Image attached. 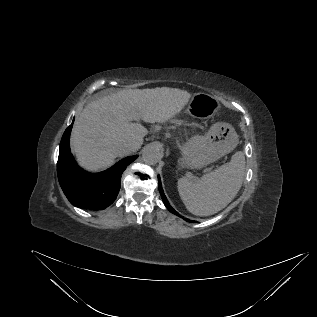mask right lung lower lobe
I'll use <instances>...</instances> for the list:
<instances>
[{"instance_id": "obj_1", "label": "right lung lower lobe", "mask_w": 317, "mask_h": 317, "mask_svg": "<svg viewBox=\"0 0 317 317\" xmlns=\"http://www.w3.org/2000/svg\"><path fill=\"white\" fill-rule=\"evenodd\" d=\"M71 129L72 124L64 132L60 143L57 173L61 188L76 207L104 209L116 199L120 190V176L137 156L124 158L104 172L88 173L77 165L70 152Z\"/></svg>"}]
</instances>
